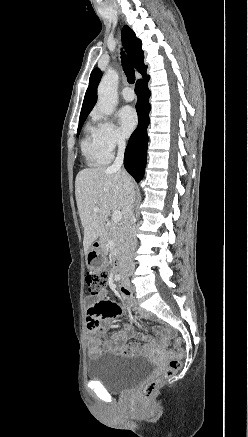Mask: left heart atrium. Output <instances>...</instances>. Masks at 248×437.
Listing matches in <instances>:
<instances>
[{
    "label": "left heart atrium",
    "instance_id": "39dd6f15",
    "mask_svg": "<svg viewBox=\"0 0 248 437\" xmlns=\"http://www.w3.org/2000/svg\"><path fill=\"white\" fill-rule=\"evenodd\" d=\"M119 121L121 132L124 136H129L137 125V115L130 106H125L119 111Z\"/></svg>",
    "mask_w": 248,
    "mask_h": 437
}]
</instances>
